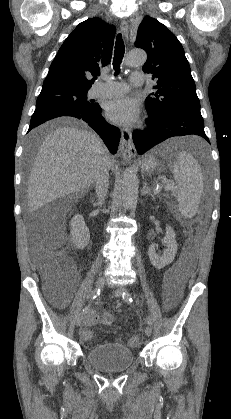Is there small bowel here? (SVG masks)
<instances>
[{
  "label": "small bowel",
  "mask_w": 231,
  "mask_h": 419,
  "mask_svg": "<svg viewBox=\"0 0 231 419\" xmlns=\"http://www.w3.org/2000/svg\"><path fill=\"white\" fill-rule=\"evenodd\" d=\"M75 278L72 283H74ZM180 298V290L178 288V282L173 277H166L164 279V306L167 310L172 309L178 303ZM99 321V314L92 310L88 313L84 327L80 331L81 338L84 343H88L93 338V331L90 327L96 325Z\"/></svg>",
  "instance_id": "1"
}]
</instances>
